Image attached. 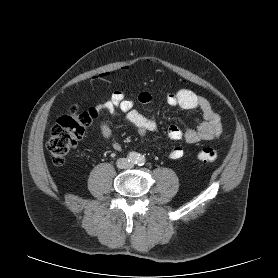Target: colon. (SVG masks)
<instances>
[{
	"instance_id": "5ec220e1",
	"label": "colon",
	"mask_w": 278,
	"mask_h": 278,
	"mask_svg": "<svg viewBox=\"0 0 278 278\" xmlns=\"http://www.w3.org/2000/svg\"><path fill=\"white\" fill-rule=\"evenodd\" d=\"M93 118V109L82 111L78 106H71L65 115L57 119L46 143L55 164L61 165L65 162ZM197 157L203 163H213L218 158V151L212 147H204L198 152Z\"/></svg>"
}]
</instances>
